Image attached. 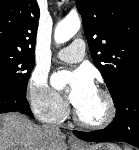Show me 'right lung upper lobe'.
Masks as SVG:
<instances>
[{
	"mask_svg": "<svg viewBox=\"0 0 139 150\" xmlns=\"http://www.w3.org/2000/svg\"><path fill=\"white\" fill-rule=\"evenodd\" d=\"M39 16L36 0H0V50L34 56Z\"/></svg>",
	"mask_w": 139,
	"mask_h": 150,
	"instance_id": "right-lung-upper-lobe-1",
	"label": "right lung upper lobe"
}]
</instances>
